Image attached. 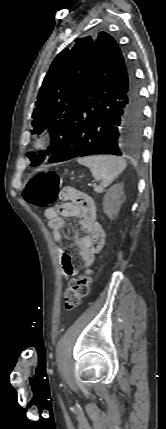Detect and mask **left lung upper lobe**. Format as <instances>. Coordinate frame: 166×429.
<instances>
[{
  "label": "left lung upper lobe",
  "instance_id": "left-lung-upper-lobe-1",
  "mask_svg": "<svg viewBox=\"0 0 166 429\" xmlns=\"http://www.w3.org/2000/svg\"><path fill=\"white\" fill-rule=\"evenodd\" d=\"M98 36L77 38L72 48L64 49L52 62L35 103L33 131L41 133L49 128L53 136L47 153L59 146L76 109L81 91L88 80ZM46 152L28 153L31 166L39 165Z\"/></svg>",
  "mask_w": 166,
  "mask_h": 429
}]
</instances>
